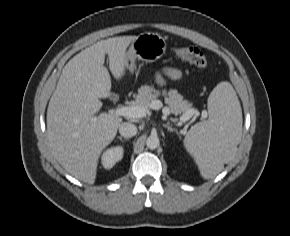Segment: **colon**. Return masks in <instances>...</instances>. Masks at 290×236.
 <instances>
[{"label": "colon", "instance_id": "1", "mask_svg": "<svg viewBox=\"0 0 290 236\" xmlns=\"http://www.w3.org/2000/svg\"><path fill=\"white\" fill-rule=\"evenodd\" d=\"M176 54L181 59L188 61L200 69H205L208 66L206 55L198 48L180 47L176 50Z\"/></svg>", "mask_w": 290, "mask_h": 236}]
</instances>
